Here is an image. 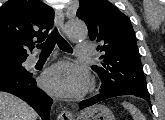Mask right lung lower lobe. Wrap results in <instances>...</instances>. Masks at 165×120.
I'll return each instance as SVG.
<instances>
[{"label":"right lung lower lobe","mask_w":165,"mask_h":120,"mask_svg":"<svg viewBox=\"0 0 165 120\" xmlns=\"http://www.w3.org/2000/svg\"><path fill=\"white\" fill-rule=\"evenodd\" d=\"M0 91L9 92L26 101L42 118L50 120L53 100L37 87L32 74L0 73Z\"/></svg>","instance_id":"1"}]
</instances>
